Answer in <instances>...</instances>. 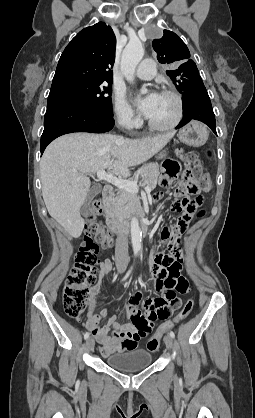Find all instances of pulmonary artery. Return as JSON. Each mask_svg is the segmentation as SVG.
I'll use <instances>...</instances> for the list:
<instances>
[{
  "label": "pulmonary artery",
  "mask_w": 255,
  "mask_h": 418,
  "mask_svg": "<svg viewBox=\"0 0 255 418\" xmlns=\"http://www.w3.org/2000/svg\"><path fill=\"white\" fill-rule=\"evenodd\" d=\"M136 76L150 80L156 75V65L152 59H144L141 61L135 72Z\"/></svg>",
  "instance_id": "1"
}]
</instances>
